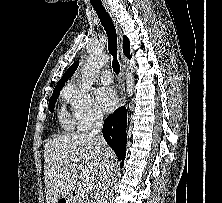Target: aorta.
Wrapping results in <instances>:
<instances>
[{"instance_id": "obj_1", "label": "aorta", "mask_w": 222, "mask_h": 203, "mask_svg": "<svg viewBox=\"0 0 222 203\" xmlns=\"http://www.w3.org/2000/svg\"><path fill=\"white\" fill-rule=\"evenodd\" d=\"M109 59V55L98 52H94L88 57L86 63L84 64L82 78L79 83V88L81 91H90L98 73L103 65L109 61ZM126 78L127 93L129 96H131L133 93L134 77L128 70L126 71Z\"/></svg>"}]
</instances>
